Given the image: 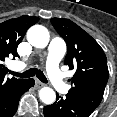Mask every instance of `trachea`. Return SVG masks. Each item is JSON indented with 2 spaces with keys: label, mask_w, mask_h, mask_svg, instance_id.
<instances>
[{
  "label": "trachea",
  "mask_w": 117,
  "mask_h": 117,
  "mask_svg": "<svg viewBox=\"0 0 117 117\" xmlns=\"http://www.w3.org/2000/svg\"><path fill=\"white\" fill-rule=\"evenodd\" d=\"M13 76L16 77H20V78H29V77H33L36 75V77L43 83H48L47 78L45 77V75L43 74V72L37 68H32L29 69L23 73H18V72H10Z\"/></svg>",
  "instance_id": "trachea-1"
}]
</instances>
